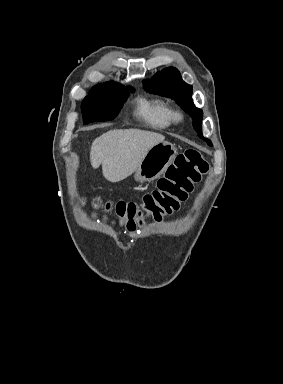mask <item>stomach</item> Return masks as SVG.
<instances>
[{"instance_id": "obj_1", "label": "stomach", "mask_w": 283, "mask_h": 384, "mask_svg": "<svg viewBox=\"0 0 283 384\" xmlns=\"http://www.w3.org/2000/svg\"><path fill=\"white\" fill-rule=\"evenodd\" d=\"M176 154V148L169 142H158L152 146L135 172L136 182L144 184V182H153L159 178L172 164Z\"/></svg>"}]
</instances>
